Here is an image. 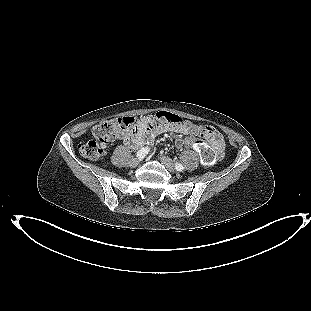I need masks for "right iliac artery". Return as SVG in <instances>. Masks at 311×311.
<instances>
[{
  "instance_id": "right-iliac-artery-1",
  "label": "right iliac artery",
  "mask_w": 311,
  "mask_h": 311,
  "mask_svg": "<svg viewBox=\"0 0 311 311\" xmlns=\"http://www.w3.org/2000/svg\"><path fill=\"white\" fill-rule=\"evenodd\" d=\"M149 152V149L147 147L142 148L141 150H139L136 154V156L140 159L144 158Z\"/></svg>"
}]
</instances>
